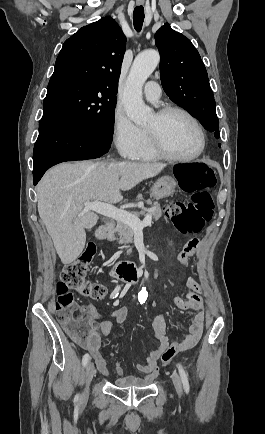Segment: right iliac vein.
<instances>
[{
    "label": "right iliac vein",
    "instance_id": "right-iliac-vein-1",
    "mask_svg": "<svg viewBox=\"0 0 265 434\" xmlns=\"http://www.w3.org/2000/svg\"><path fill=\"white\" fill-rule=\"evenodd\" d=\"M94 374H95L94 364L92 362H89L87 364L86 370H85L86 388H85V391H84V393L82 395L83 402H81V404H80L81 406H83L84 403H85V401L87 400V397H88V390H87V388H88L89 384L91 383Z\"/></svg>",
    "mask_w": 265,
    "mask_h": 434
}]
</instances>
